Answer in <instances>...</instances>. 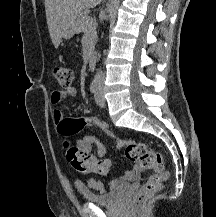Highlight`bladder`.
<instances>
[{
  "label": "bladder",
  "mask_w": 216,
  "mask_h": 217,
  "mask_svg": "<svg viewBox=\"0 0 216 217\" xmlns=\"http://www.w3.org/2000/svg\"><path fill=\"white\" fill-rule=\"evenodd\" d=\"M127 189V185H122L111 191L103 193H95L90 190L81 189L80 194L86 202L97 205H113L120 200L121 196Z\"/></svg>",
  "instance_id": "bladder-1"
}]
</instances>
